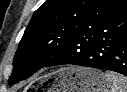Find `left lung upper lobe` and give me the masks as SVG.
Listing matches in <instances>:
<instances>
[{"label": "left lung upper lobe", "instance_id": "left-lung-upper-lobe-1", "mask_svg": "<svg viewBox=\"0 0 127 92\" xmlns=\"http://www.w3.org/2000/svg\"><path fill=\"white\" fill-rule=\"evenodd\" d=\"M126 0H47L34 13L14 56L13 73L26 79L53 59L82 30ZM13 78L9 84L13 85Z\"/></svg>", "mask_w": 127, "mask_h": 92}]
</instances>
